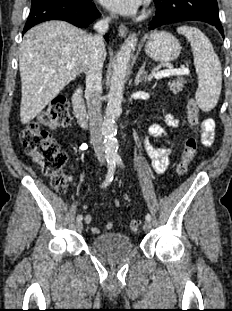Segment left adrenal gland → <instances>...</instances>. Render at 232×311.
Here are the masks:
<instances>
[{
	"mask_svg": "<svg viewBox=\"0 0 232 311\" xmlns=\"http://www.w3.org/2000/svg\"><path fill=\"white\" fill-rule=\"evenodd\" d=\"M145 64H146V61H144L143 65L139 69L134 79V83L136 86L139 85V83L141 82H146L147 78L149 79V77H147L148 72L145 70Z\"/></svg>",
	"mask_w": 232,
	"mask_h": 311,
	"instance_id": "a2214340",
	"label": "left adrenal gland"
}]
</instances>
